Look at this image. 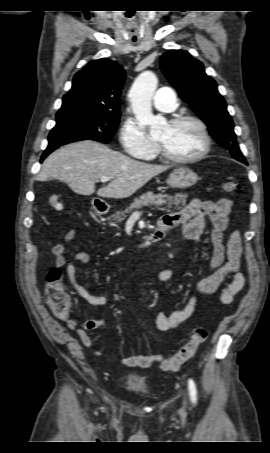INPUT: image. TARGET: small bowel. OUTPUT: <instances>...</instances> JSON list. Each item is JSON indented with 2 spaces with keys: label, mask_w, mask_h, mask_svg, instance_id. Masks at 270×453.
<instances>
[{
  "label": "small bowel",
  "mask_w": 270,
  "mask_h": 453,
  "mask_svg": "<svg viewBox=\"0 0 270 453\" xmlns=\"http://www.w3.org/2000/svg\"><path fill=\"white\" fill-rule=\"evenodd\" d=\"M232 208L231 200L221 198L216 202L192 200L183 209L166 214L160 223H164L168 229L180 227L184 237L193 242H201L205 229L206 220L210 222V239L212 243V255L208 274L202 277L196 285L197 293L210 295L219 290L226 283L220 294V302L224 305L231 304L234 296L243 288L245 278L240 271L242 257V239L237 229L230 232L227 245H224V232L229 227V216ZM77 230H70L64 238L65 243L73 240ZM59 243L53 246L52 253L56 260V266L65 268L69 282L75 293L92 306H103L108 299L105 295H96L88 291L77 279L75 262L85 265L89 261L88 254L79 252L75 255V262H68L65 257L66 244ZM226 258V261H225ZM174 275V268L168 267L162 270L157 280L166 282ZM197 304V296H191L187 303L180 309L173 311L167 316L162 311L154 314L159 330L167 331L182 325L193 314ZM59 317V316H58ZM67 326L77 332L85 347H92V340L88 335L89 330L102 327L106 324L105 319H91L80 322L70 315L59 317ZM94 354L100 355L101 351L94 350ZM163 361V355L133 354L121 359V363L128 367L147 368Z\"/></svg>",
  "instance_id": "c3829d8e"
}]
</instances>
